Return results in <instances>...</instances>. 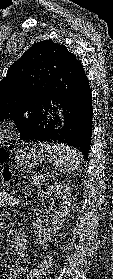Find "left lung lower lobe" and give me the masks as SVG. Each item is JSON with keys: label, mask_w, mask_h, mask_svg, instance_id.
<instances>
[{"label": "left lung lower lobe", "mask_w": 113, "mask_h": 279, "mask_svg": "<svg viewBox=\"0 0 113 279\" xmlns=\"http://www.w3.org/2000/svg\"><path fill=\"white\" fill-rule=\"evenodd\" d=\"M92 98L88 78L74 54L42 94L23 141L54 142L77 148L88 160L92 136Z\"/></svg>", "instance_id": "left-lung-lower-lobe-1"}]
</instances>
